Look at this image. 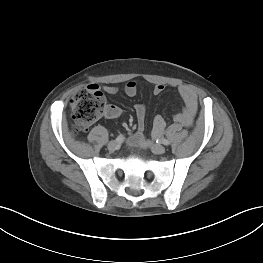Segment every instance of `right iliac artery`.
I'll list each match as a JSON object with an SVG mask.
<instances>
[{
  "mask_svg": "<svg viewBox=\"0 0 263 263\" xmlns=\"http://www.w3.org/2000/svg\"><path fill=\"white\" fill-rule=\"evenodd\" d=\"M124 139H125L124 135H119V136L116 138V142H117V143H121V142L124 141Z\"/></svg>",
  "mask_w": 263,
  "mask_h": 263,
  "instance_id": "right-iliac-artery-1",
  "label": "right iliac artery"
}]
</instances>
